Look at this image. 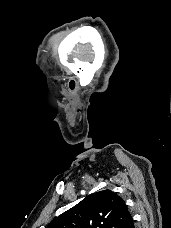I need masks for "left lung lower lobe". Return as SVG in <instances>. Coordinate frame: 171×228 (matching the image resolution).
I'll return each mask as SVG.
<instances>
[{"label":"left lung lower lobe","mask_w":171,"mask_h":228,"mask_svg":"<svg viewBox=\"0 0 171 228\" xmlns=\"http://www.w3.org/2000/svg\"><path fill=\"white\" fill-rule=\"evenodd\" d=\"M122 228H135L134 220L130 217L124 224Z\"/></svg>","instance_id":"0a47b994"}]
</instances>
